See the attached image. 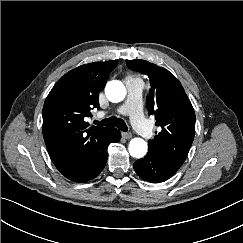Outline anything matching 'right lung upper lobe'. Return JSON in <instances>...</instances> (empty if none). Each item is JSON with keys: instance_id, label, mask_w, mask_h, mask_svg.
<instances>
[{"instance_id": "cb5924a9", "label": "right lung upper lobe", "mask_w": 243, "mask_h": 243, "mask_svg": "<svg viewBox=\"0 0 243 243\" xmlns=\"http://www.w3.org/2000/svg\"><path fill=\"white\" fill-rule=\"evenodd\" d=\"M117 60L79 66L54 85L43 106V137L57 164H82L98 151L112 128L89 127L84 118L99 108L98 94Z\"/></svg>"}]
</instances>
